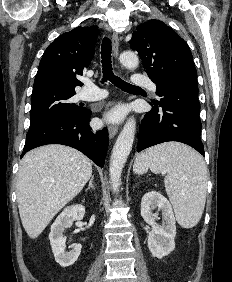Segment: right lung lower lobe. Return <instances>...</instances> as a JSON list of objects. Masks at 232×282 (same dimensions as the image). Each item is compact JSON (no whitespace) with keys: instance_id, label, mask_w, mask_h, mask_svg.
I'll return each mask as SVG.
<instances>
[{"instance_id":"98d812e1","label":"right lung lower lobe","mask_w":232,"mask_h":282,"mask_svg":"<svg viewBox=\"0 0 232 282\" xmlns=\"http://www.w3.org/2000/svg\"><path fill=\"white\" fill-rule=\"evenodd\" d=\"M91 111L80 115H60L43 125L29 129L22 156L29 150L46 144L71 146L89 157L98 166L103 167L108 148V132L89 126Z\"/></svg>"}]
</instances>
